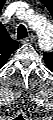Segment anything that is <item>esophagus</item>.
<instances>
[{
  "mask_svg": "<svg viewBox=\"0 0 53 120\" xmlns=\"http://www.w3.org/2000/svg\"><path fill=\"white\" fill-rule=\"evenodd\" d=\"M35 41V36L31 35L28 38L23 39L21 42L22 43H33Z\"/></svg>",
  "mask_w": 53,
  "mask_h": 120,
  "instance_id": "34e87169",
  "label": "esophagus"
}]
</instances>
